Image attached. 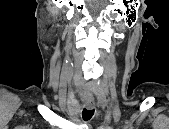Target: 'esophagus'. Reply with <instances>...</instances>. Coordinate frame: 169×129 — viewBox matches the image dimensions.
<instances>
[{
    "label": "esophagus",
    "mask_w": 169,
    "mask_h": 129,
    "mask_svg": "<svg viewBox=\"0 0 169 129\" xmlns=\"http://www.w3.org/2000/svg\"><path fill=\"white\" fill-rule=\"evenodd\" d=\"M86 107H87L88 109H93V108H94V105L88 104V105H86Z\"/></svg>",
    "instance_id": "34e87169"
}]
</instances>
